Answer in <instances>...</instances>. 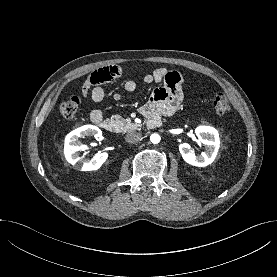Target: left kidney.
Masks as SVG:
<instances>
[{
	"instance_id": "obj_1",
	"label": "left kidney",
	"mask_w": 277,
	"mask_h": 277,
	"mask_svg": "<svg viewBox=\"0 0 277 277\" xmlns=\"http://www.w3.org/2000/svg\"><path fill=\"white\" fill-rule=\"evenodd\" d=\"M195 134L200 143L207 147L206 152L196 156L188 143L179 145V151L184 159L190 165L197 167H205L211 164L217 155L220 139L218 131L210 126H199L195 129Z\"/></svg>"
}]
</instances>
